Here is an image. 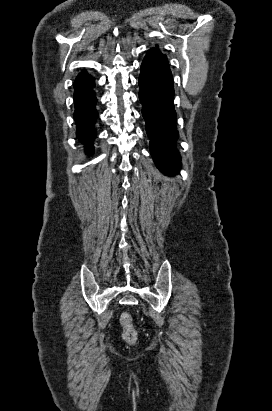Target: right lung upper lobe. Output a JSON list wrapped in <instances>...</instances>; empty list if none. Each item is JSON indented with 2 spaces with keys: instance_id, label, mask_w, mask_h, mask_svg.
Wrapping results in <instances>:
<instances>
[{
  "instance_id": "obj_1",
  "label": "right lung upper lobe",
  "mask_w": 272,
  "mask_h": 411,
  "mask_svg": "<svg viewBox=\"0 0 272 411\" xmlns=\"http://www.w3.org/2000/svg\"><path fill=\"white\" fill-rule=\"evenodd\" d=\"M92 77L88 75L85 71H82L79 73V75L76 77L74 87L80 86L83 83L87 82L90 80Z\"/></svg>"
}]
</instances>
